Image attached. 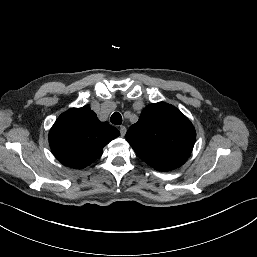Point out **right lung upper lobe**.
Returning <instances> with one entry per match:
<instances>
[{"label": "right lung upper lobe", "mask_w": 257, "mask_h": 257, "mask_svg": "<svg viewBox=\"0 0 257 257\" xmlns=\"http://www.w3.org/2000/svg\"><path fill=\"white\" fill-rule=\"evenodd\" d=\"M119 136L108 122H100L88 107L72 108L61 114L49 133L50 147L64 165L80 169L103 153V147Z\"/></svg>", "instance_id": "obj_1"}]
</instances>
